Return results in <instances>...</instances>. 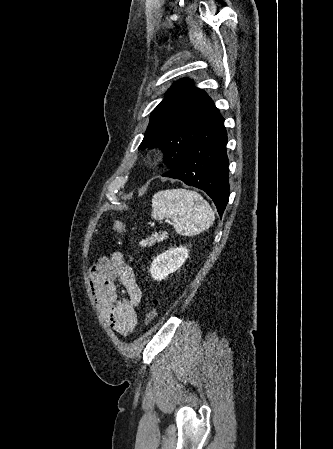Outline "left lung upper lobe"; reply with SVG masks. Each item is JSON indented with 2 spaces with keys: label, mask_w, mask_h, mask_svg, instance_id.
Instances as JSON below:
<instances>
[{
  "label": "left lung upper lobe",
  "mask_w": 333,
  "mask_h": 449,
  "mask_svg": "<svg viewBox=\"0 0 333 449\" xmlns=\"http://www.w3.org/2000/svg\"><path fill=\"white\" fill-rule=\"evenodd\" d=\"M215 107L201 89L188 79L175 82L152 111L139 149L159 146L166 170L176 169L186 158L198 130Z\"/></svg>",
  "instance_id": "obj_1"
}]
</instances>
